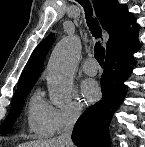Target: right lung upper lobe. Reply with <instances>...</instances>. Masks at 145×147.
Listing matches in <instances>:
<instances>
[{"label":"right lung upper lobe","instance_id":"1","mask_svg":"<svg viewBox=\"0 0 145 147\" xmlns=\"http://www.w3.org/2000/svg\"><path fill=\"white\" fill-rule=\"evenodd\" d=\"M93 5L101 25L109 33L107 51L136 28L135 25L129 28L135 18L128 11L127 6L119 4L117 0H93ZM53 40L54 34H51L35 48L20 77L17 89L34 86L40 76L45 56L52 46Z\"/></svg>","mask_w":145,"mask_h":147}]
</instances>
